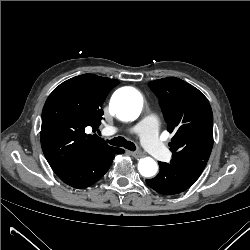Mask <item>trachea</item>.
I'll list each match as a JSON object with an SVG mask.
<instances>
[{"instance_id": "3493384b", "label": "trachea", "mask_w": 250, "mask_h": 250, "mask_svg": "<svg viewBox=\"0 0 250 250\" xmlns=\"http://www.w3.org/2000/svg\"><path fill=\"white\" fill-rule=\"evenodd\" d=\"M108 143H110L113 146L124 147L131 151L136 150V146L134 143H132L131 141H127L125 138L120 137V136L113 138L111 140H108Z\"/></svg>"}]
</instances>
